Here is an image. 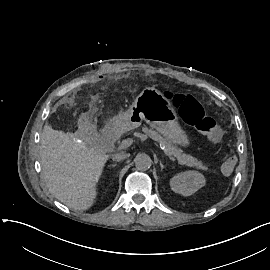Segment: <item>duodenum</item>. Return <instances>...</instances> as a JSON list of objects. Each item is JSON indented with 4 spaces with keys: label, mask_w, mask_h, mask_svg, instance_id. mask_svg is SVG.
Returning a JSON list of instances; mask_svg holds the SVG:
<instances>
[{
    "label": "duodenum",
    "mask_w": 270,
    "mask_h": 270,
    "mask_svg": "<svg viewBox=\"0 0 270 270\" xmlns=\"http://www.w3.org/2000/svg\"><path fill=\"white\" fill-rule=\"evenodd\" d=\"M124 128V122L122 120H113L106 127L103 132V142L107 146H111L116 143L121 136Z\"/></svg>",
    "instance_id": "1"
}]
</instances>
